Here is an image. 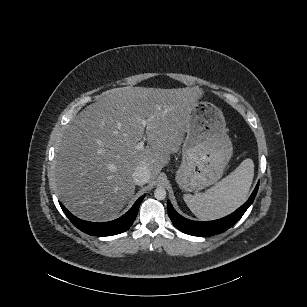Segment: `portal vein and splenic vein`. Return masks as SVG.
I'll use <instances>...</instances> for the list:
<instances>
[{"label":"portal vein and splenic vein","mask_w":307,"mask_h":307,"mask_svg":"<svg viewBox=\"0 0 307 307\" xmlns=\"http://www.w3.org/2000/svg\"><path fill=\"white\" fill-rule=\"evenodd\" d=\"M147 122H148V119H141V124H142L144 127L147 125ZM144 141H145V140L138 142L135 148H136L137 150H142V149H144Z\"/></svg>","instance_id":"1"}]
</instances>
